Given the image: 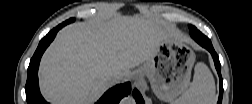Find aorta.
I'll list each match as a JSON object with an SVG mask.
<instances>
[{"label": "aorta", "instance_id": "obj_1", "mask_svg": "<svg viewBox=\"0 0 252 104\" xmlns=\"http://www.w3.org/2000/svg\"><path fill=\"white\" fill-rule=\"evenodd\" d=\"M134 102V99L132 97H126L124 98L123 103L125 104H132Z\"/></svg>", "mask_w": 252, "mask_h": 104}]
</instances>
